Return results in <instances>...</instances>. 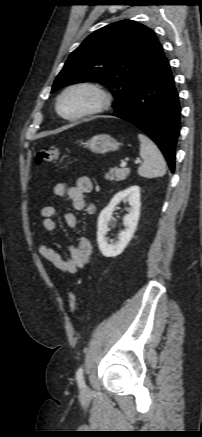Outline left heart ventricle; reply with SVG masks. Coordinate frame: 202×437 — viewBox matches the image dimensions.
Returning a JSON list of instances; mask_svg holds the SVG:
<instances>
[{
	"mask_svg": "<svg viewBox=\"0 0 202 437\" xmlns=\"http://www.w3.org/2000/svg\"><path fill=\"white\" fill-rule=\"evenodd\" d=\"M96 102V96L86 90L77 89L69 92L61 101V111L67 116H72L91 107Z\"/></svg>",
	"mask_w": 202,
	"mask_h": 437,
	"instance_id": "1",
	"label": "left heart ventricle"
}]
</instances>
